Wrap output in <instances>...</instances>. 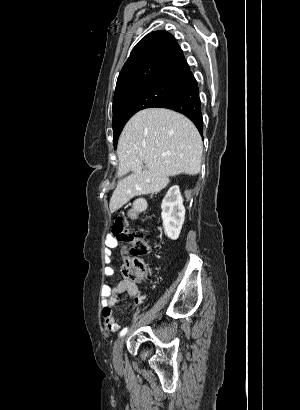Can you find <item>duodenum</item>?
<instances>
[{
	"label": "duodenum",
	"instance_id": "410a0bca",
	"mask_svg": "<svg viewBox=\"0 0 300 410\" xmlns=\"http://www.w3.org/2000/svg\"><path fill=\"white\" fill-rule=\"evenodd\" d=\"M142 210H143V203L140 201L136 202L133 212L135 214H139Z\"/></svg>",
	"mask_w": 300,
	"mask_h": 410
}]
</instances>
